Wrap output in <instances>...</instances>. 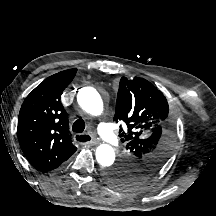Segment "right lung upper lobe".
I'll use <instances>...</instances> for the list:
<instances>
[{
  "mask_svg": "<svg viewBox=\"0 0 216 216\" xmlns=\"http://www.w3.org/2000/svg\"><path fill=\"white\" fill-rule=\"evenodd\" d=\"M76 72L77 69H69L48 77L27 96L20 109L17 133L21 149L42 173L57 168L77 150L60 102Z\"/></svg>",
  "mask_w": 216,
  "mask_h": 216,
  "instance_id": "right-lung-upper-lobe-1",
  "label": "right lung upper lobe"
}]
</instances>
